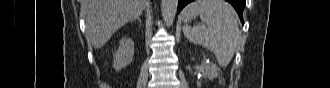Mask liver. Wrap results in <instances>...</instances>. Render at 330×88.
<instances>
[{
	"instance_id": "obj_1",
	"label": "liver",
	"mask_w": 330,
	"mask_h": 88,
	"mask_svg": "<svg viewBox=\"0 0 330 88\" xmlns=\"http://www.w3.org/2000/svg\"><path fill=\"white\" fill-rule=\"evenodd\" d=\"M146 5V0H82L87 40L95 49L101 48L119 28L140 16Z\"/></svg>"
}]
</instances>
